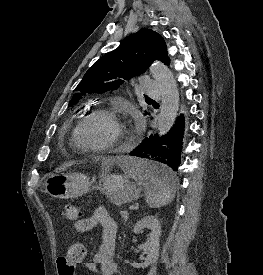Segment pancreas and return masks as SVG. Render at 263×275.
<instances>
[{
    "instance_id": "cf45deb5",
    "label": "pancreas",
    "mask_w": 263,
    "mask_h": 275,
    "mask_svg": "<svg viewBox=\"0 0 263 275\" xmlns=\"http://www.w3.org/2000/svg\"><path fill=\"white\" fill-rule=\"evenodd\" d=\"M120 214H121L122 218H123L125 221L128 220L129 214H128L127 211H121Z\"/></svg>"
}]
</instances>
